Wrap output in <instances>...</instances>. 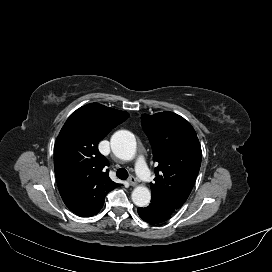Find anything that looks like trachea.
<instances>
[{
	"instance_id": "1",
	"label": "trachea",
	"mask_w": 272,
	"mask_h": 272,
	"mask_svg": "<svg viewBox=\"0 0 272 272\" xmlns=\"http://www.w3.org/2000/svg\"><path fill=\"white\" fill-rule=\"evenodd\" d=\"M116 175L121 180H126L128 178V172L124 168H119L116 172Z\"/></svg>"
}]
</instances>
